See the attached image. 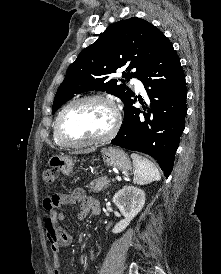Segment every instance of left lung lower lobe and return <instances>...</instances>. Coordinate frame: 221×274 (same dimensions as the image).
I'll return each instance as SVG.
<instances>
[{
	"label": "left lung lower lobe",
	"instance_id": "0a47b994",
	"mask_svg": "<svg viewBox=\"0 0 221 274\" xmlns=\"http://www.w3.org/2000/svg\"><path fill=\"white\" fill-rule=\"evenodd\" d=\"M138 79L147 90L149 100L141 101L142 110L134 107L136 98L126 103L123 124L111 143L152 156L168 177L187 112L185 75L171 43Z\"/></svg>",
	"mask_w": 221,
	"mask_h": 274
}]
</instances>
